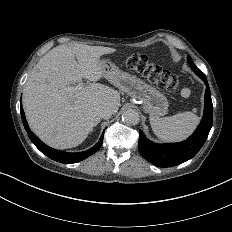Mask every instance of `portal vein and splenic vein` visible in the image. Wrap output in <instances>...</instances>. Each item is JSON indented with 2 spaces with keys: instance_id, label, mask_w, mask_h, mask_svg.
<instances>
[{
  "instance_id": "18ae733b",
  "label": "portal vein and splenic vein",
  "mask_w": 232,
  "mask_h": 232,
  "mask_svg": "<svg viewBox=\"0 0 232 232\" xmlns=\"http://www.w3.org/2000/svg\"><path fill=\"white\" fill-rule=\"evenodd\" d=\"M83 88V83L80 82L78 83V85L76 87L70 86L68 87V90L71 92L77 91V90H81Z\"/></svg>"
}]
</instances>
